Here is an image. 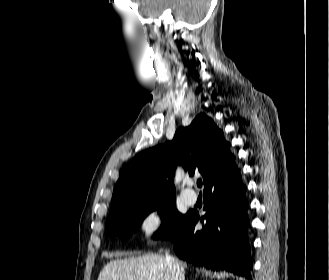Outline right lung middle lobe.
I'll return each instance as SVG.
<instances>
[{"instance_id":"dd1d6c3e","label":"right lung middle lobe","mask_w":329,"mask_h":280,"mask_svg":"<svg viewBox=\"0 0 329 280\" xmlns=\"http://www.w3.org/2000/svg\"><path fill=\"white\" fill-rule=\"evenodd\" d=\"M175 197L152 196L139 198L126 206L110 212L106 222V229L110 236L128 239L136 232L142 220L152 211L159 210L164 223L154 234V238H172L189 217L179 213L175 207Z\"/></svg>"}]
</instances>
